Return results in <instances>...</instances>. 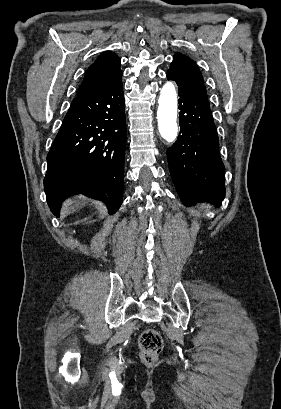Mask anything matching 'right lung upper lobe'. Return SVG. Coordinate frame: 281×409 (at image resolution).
<instances>
[{"label": "right lung upper lobe", "mask_w": 281, "mask_h": 409, "mask_svg": "<svg viewBox=\"0 0 281 409\" xmlns=\"http://www.w3.org/2000/svg\"><path fill=\"white\" fill-rule=\"evenodd\" d=\"M119 67L120 58L115 53L105 51L100 54L86 71L77 96L93 93L112 83L121 73Z\"/></svg>", "instance_id": "cb5924a9"}]
</instances>
